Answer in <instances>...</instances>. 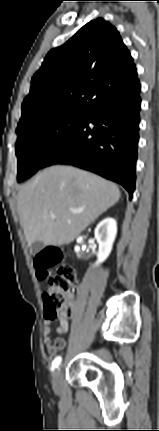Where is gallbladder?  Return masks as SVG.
Returning <instances> with one entry per match:
<instances>
[{"mask_svg":"<svg viewBox=\"0 0 159 431\" xmlns=\"http://www.w3.org/2000/svg\"><path fill=\"white\" fill-rule=\"evenodd\" d=\"M44 248V244L41 241H36L31 245V253L33 255L37 254Z\"/></svg>","mask_w":159,"mask_h":431,"instance_id":"gallbladder-1","label":"gallbladder"}]
</instances>
